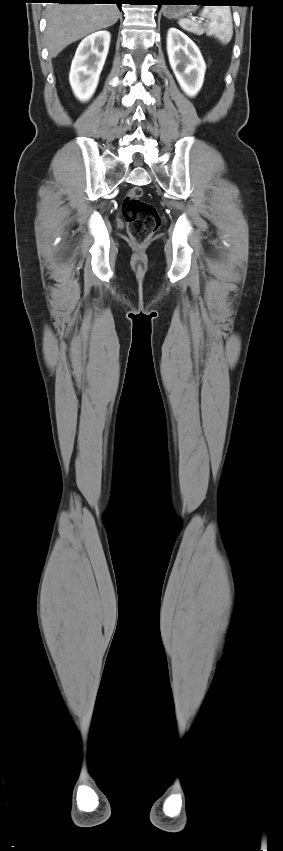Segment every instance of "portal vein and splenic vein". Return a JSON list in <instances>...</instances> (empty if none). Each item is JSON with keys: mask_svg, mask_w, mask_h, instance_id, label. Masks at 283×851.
<instances>
[{"mask_svg": "<svg viewBox=\"0 0 283 851\" xmlns=\"http://www.w3.org/2000/svg\"><path fill=\"white\" fill-rule=\"evenodd\" d=\"M201 22H202L201 20L198 21V23H201Z\"/></svg>", "mask_w": 283, "mask_h": 851, "instance_id": "portal-vein-and-splenic-vein-1", "label": "portal vein and splenic vein"}]
</instances>
